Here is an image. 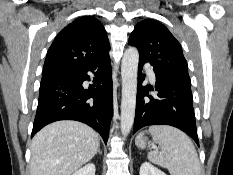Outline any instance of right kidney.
<instances>
[{
	"mask_svg": "<svg viewBox=\"0 0 233 175\" xmlns=\"http://www.w3.org/2000/svg\"><path fill=\"white\" fill-rule=\"evenodd\" d=\"M72 175H95V165L93 163H89L75 171Z\"/></svg>",
	"mask_w": 233,
	"mask_h": 175,
	"instance_id": "right-kidney-1",
	"label": "right kidney"
}]
</instances>
